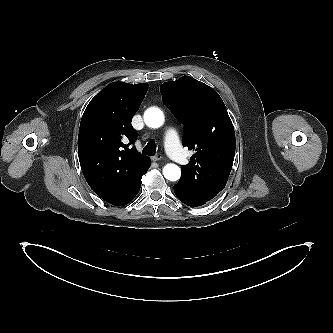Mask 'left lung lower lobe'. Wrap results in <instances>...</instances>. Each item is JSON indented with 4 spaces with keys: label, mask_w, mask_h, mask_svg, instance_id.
<instances>
[{
    "label": "left lung lower lobe",
    "mask_w": 333,
    "mask_h": 333,
    "mask_svg": "<svg viewBox=\"0 0 333 333\" xmlns=\"http://www.w3.org/2000/svg\"><path fill=\"white\" fill-rule=\"evenodd\" d=\"M174 192L181 202L191 207L202 206L209 202L207 199L180 182L174 185Z\"/></svg>",
    "instance_id": "obj_1"
}]
</instances>
